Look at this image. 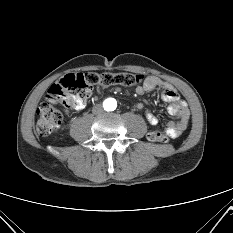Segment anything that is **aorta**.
<instances>
[{"label": "aorta", "instance_id": "aorta-1", "mask_svg": "<svg viewBox=\"0 0 233 233\" xmlns=\"http://www.w3.org/2000/svg\"><path fill=\"white\" fill-rule=\"evenodd\" d=\"M117 107V102L113 98L106 99L104 101V108L107 111H114Z\"/></svg>", "mask_w": 233, "mask_h": 233}]
</instances>
